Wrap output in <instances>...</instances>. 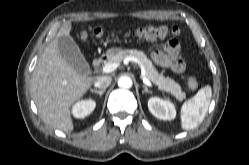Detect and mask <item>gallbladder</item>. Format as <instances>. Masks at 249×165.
Segmentation results:
<instances>
[{"mask_svg":"<svg viewBox=\"0 0 249 165\" xmlns=\"http://www.w3.org/2000/svg\"><path fill=\"white\" fill-rule=\"evenodd\" d=\"M58 49L62 57L79 73L87 75L90 72L88 62L72 37L61 36Z\"/></svg>","mask_w":249,"mask_h":165,"instance_id":"1","label":"gallbladder"}]
</instances>
